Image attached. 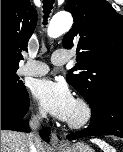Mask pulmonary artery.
I'll use <instances>...</instances> for the list:
<instances>
[{
  "instance_id": "1",
  "label": "pulmonary artery",
  "mask_w": 123,
  "mask_h": 152,
  "mask_svg": "<svg viewBox=\"0 0 123 152\" xmlns=\"http://www.w3.org/2000/svg\"><path fill=\"white\" fill-rule=\"evenodd\" d=\"M51 61L54 65L61 66L69 61V56L63 51H55L52 54ZM48 71L47 64L40 61H28L19 72L21 75L38 77L47 74Z\"/></svg>"
}]
</instances>
